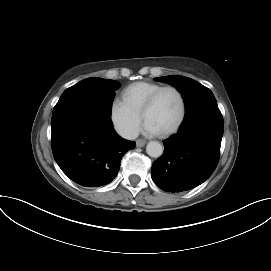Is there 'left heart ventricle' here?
<instances>
[{"instance_id": "1", "label": "left heart ventricle", "mask_w": 271, "mask_h": 271, "mask_svg": "<svg viewBox=\"0 0 271 271\" xmlns=\"http://www.w3.org/2000/svg\"><path fill=\"white\" fill-rule=\"evenodd\" d=\"M180 113V101L174 91H164L153 108L146 115V121L152 123L161 133L170 129Z\"/></svg>"}]
</instances>
